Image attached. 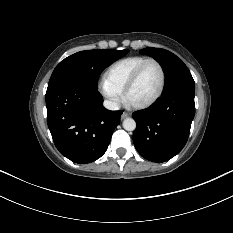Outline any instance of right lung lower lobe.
Here are the masks:
<instances>
[{
    "label": "right lung lower lobe",
    "mask_w": 233,
    "mask_h": 233,
    "mask_svg": "<svg viewBox=\"0 0 233 233\" xmlns=\"http://www.w3.org/2000/svg\"><path fill=\"white\" fill-rule=\"evenodd\" d=\"M97 89L74 82L48 85L47 124L59 152L69 160L86 164L100 158L109 145L122 111L103 107Z\"/></svg>",
    "instance_id": "obj_1"
}]
</instances>
